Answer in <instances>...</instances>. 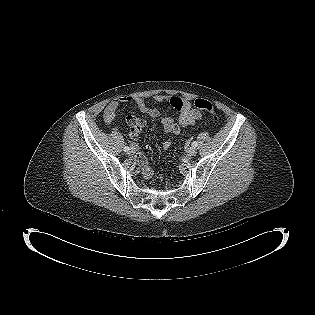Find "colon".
<instances>
[{
	"label": "colon",
	"instance_id": "1",
	"mask_svg": "<svg viewBox=\"0 0 315 315\" xmlns=\"http://www.w3.org/2000/svg\"><path fill=\"white\" fill-rule=\"evenodd\" d=\"M194 105L197 109L205 111V112L209 113L210 115H212L214 118H216L214 106L210 101H208L206 99L199 98V99L195 100ZM127 121L130 124V133H133L135 128H138V126L141 123L140 119H138L132 115L127 117Z\"/></svg>",
	"mask_w": 315,
	"mask_h": 315
}]
</instances>
